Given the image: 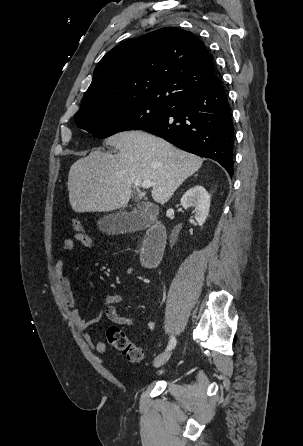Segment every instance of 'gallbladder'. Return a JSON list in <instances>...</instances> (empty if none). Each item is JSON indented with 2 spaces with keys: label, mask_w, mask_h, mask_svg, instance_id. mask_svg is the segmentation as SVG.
Instances as JSON below:
<instances>
[{
  "label": "gallbladder",
  "mask_w": 303,
  "mask_h": 446,
  "mask_svg": "<svg viewBox=\"0 0 303 446\" xmlns=\"http://www.w3.org/2000/svg\"><path fill=\"white\" fill-rule=\"evenodd\" d=\"M147 222H150L148 216L141 211H132L105 216L98 224L102 231L113 234L140 228Z\"/></svg>",
  "instance_id": "1"
}]
</instances>
